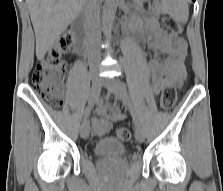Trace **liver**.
I'll return each mask as SVG.
<instances>
[{
    "label": "liver",
    "instance_id": "1",
    "mask_svg": "<svg viewBox=\"0 0 223 191\" xmlns=\"http://www.w3.org/2000/svg\"><path fill=\"white\" fill-rule=\"evenodd\" d=\"M85 0H26L36 37V56L42 60L59 36L77 18Z\"/></svg>",
    "mask_w": 223,
    "mask_h": 191
}]
</instances>
